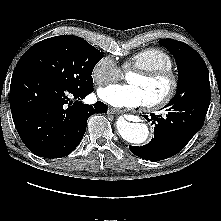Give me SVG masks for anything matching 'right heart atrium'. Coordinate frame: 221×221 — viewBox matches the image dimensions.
Listing matches in <instances>:
<instances>
[{"instance_id":"d8ad5b80","label":"right heart atrium","mask_w":221,"mask_h":221,"mask_svg":"<svg viewBox=\"0 0 221 221\" xmlns=\"http://www.w3.org/2000/svg\"><path fill=\"white\" fill-rule=\"evenodd\" d=\"M120 68L109 56L101 57L92 67L91 78L96 85H104L120 77Z\"/></svg>"}]
</instances>
